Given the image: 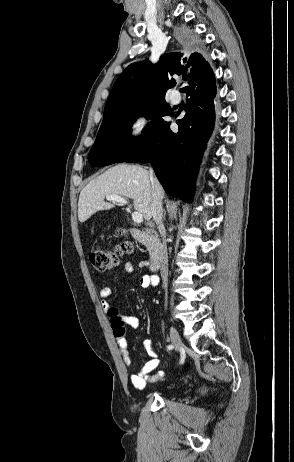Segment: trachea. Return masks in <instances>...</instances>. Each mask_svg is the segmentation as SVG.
Listing matches in <instances>:
<instances>
[{
  "mask_svg": "<svg viewBox=\"0 0 294 462\" xmlns=\"http://www.w3.org/2000/svg\"><path fill=\"white\" fill-rule=\"evenodd\" d=\"M186 79H187V77H186V76H183V80H186Z\"/></svg>",
  "mask_w": 294,
  "mask_h": 462,
  "instance_id": "3493384b",
  "label": "trachea"
}]
</instances>
